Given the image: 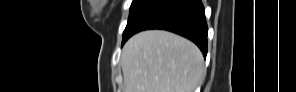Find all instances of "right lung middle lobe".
Returning a JSON list of instances; mask_svg holds the SVG:
<instances>
[{"label": "right lung middle lobe", "mask_w": 296, "mask_h": 92, "mask_svg": "<svg viewBox=\"0 0 296 92\" xmlns=\"http://www.w3.org/2000/svg\"><path fill=\"white\" fill-rule=\"evenodd\" d=\"M153 2L154 0H133L130 7L128 23L124 30L123 37H125L129 33L135 21L145 11V9L149 7Z\"/></svg>", "instance_id": "dd1d6c3e"}]
</instances>
